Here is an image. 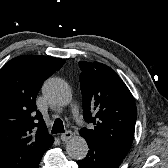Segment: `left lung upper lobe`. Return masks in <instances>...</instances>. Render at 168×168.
Listing matches in <instances>:
<instances>
[{"label": "left lung upper lobe", "mask_w": 168, "mask_h": 168, "mask_svg": "<svg viewBox=\"0 0 168 168\" xmlns=\"http://www.w3.org/2000/svg\"><path fill=\"white\" fill-rule=\"evenodd\" d=\"M83 116L94 129L80 135L123 155L129 152L135 131L137 109L134 98L110 67L99 62H79Z\"/></svg>", "instance_id": "1"}]
</instances>
